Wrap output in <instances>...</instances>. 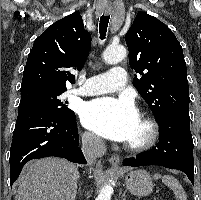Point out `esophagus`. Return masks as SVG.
<instances>
[{
  "instance_id": "obj_1",
  "label": "esophagus",
  "mask_w": 201,
  "mask_h": 200,
  "mask_svg": "<svg viewBox=\"0 0 201 200\" xmlns=\"http://www.w3.org/2000/svg\"><path fill=\"white\" fill-rule=\"evenodd\" d=\"M110 9L109 8H107L106 10H105V13H110ZM119 161H120V158H119V156H117V155H113V156H111L110 158H109V162H110V164L113 166V167H115V168H117L118 167V165H119Z\"/></svg>"
}]
</instances>
